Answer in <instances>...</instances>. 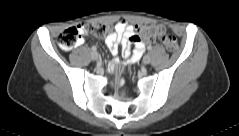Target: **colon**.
Wrapping results in <instances>:
<instances>
[{
    "mask_svg": "<svg viewBox=\"0 0 239 136\" xmlns=\"http://www.w3.org/2000/svg\"><path fill=\"white\" fill-rule=\"evenodd\" d=\"M113 27L110 24L103 23H84L74 26L63 31L58 37V44L63 49H71L78 44L79 39L84 34H91L95 37H104L112 31ZM135 40L144 41H160L165 48L174 52L178 48L177 39L164 32L161 26L147 24L138 27V34L135 35Z\"/></svg>",
    "mask_w": 239,
    "mask_h": 136,
    "instance_id": "1",
    "label": "colon"
}]
</instances>
